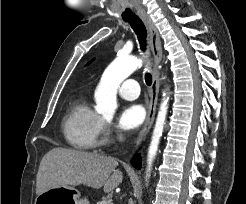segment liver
Wrapping results in <instances>:
<instances>
[{"instance_id": "obj_1", "label": "liver", "mask_w": 246, "mask_h": 204, "mask_svg": "<svg viewBox=\"0 0 246 204\" xmlns=\"http://www.w3.org/2000/svg\"><path fill=\"white\" fill-rule=\"evenodd\" d=\"M113 157L57 147L44 155L36 178V194L64 186L85 185L113 191L123 180Z\"/></svg>"}]
</instances>
